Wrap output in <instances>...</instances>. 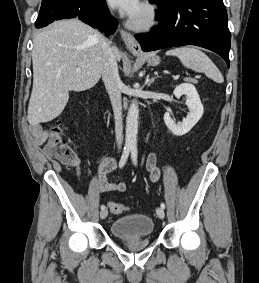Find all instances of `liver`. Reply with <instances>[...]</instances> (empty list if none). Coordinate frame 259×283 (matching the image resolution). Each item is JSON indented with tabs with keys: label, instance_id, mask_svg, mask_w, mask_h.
I'll return each instance as SVG.
<instances>
[{
	"label": "liver",
	"instance_id": "6515ba94",
	"mask_svg": "<svg viewBox=\"0 0 259 283\" xmlns=\"http://www.w3.org/2000/svg\"><path fill=\"white\" fill-rule=\"evenodd\" d=\"M104 41L98 31L78 19L54 22L35 35L27 116L30 125L52 121L64 110L70 91H84L98 83ZM114 52L120 61L117 47Z\"/></svg>",
	"mask_w": 259,
	"mask_h": 283
}]
</instances>
